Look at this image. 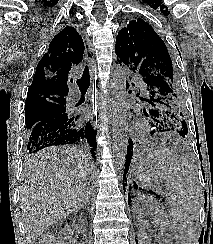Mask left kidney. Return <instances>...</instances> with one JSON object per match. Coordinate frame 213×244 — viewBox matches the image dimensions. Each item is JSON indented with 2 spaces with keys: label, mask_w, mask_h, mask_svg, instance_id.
Masks as SVG:
<instances>
[{
  "label": "left kidney",
  "mask_w": 213,
  "mask_h": 244,
  "mask_svg": "<svg viewBox=\"0 0 213 244\" xmlns=\"http://www.w3.org/2000/svg\"><path fill=\"white\" fill-rule=\"evenodd\" d=\"M133 217L136 225L143 230L146 221L145 216H152L153 222L157 227V241L159 244H173L169 234L168 225L165 221V215L160 205L153 199L140 196L133 200ZM140 244H152L147 235L142 231L139 237Z\"/></svg>",
  "instance_id": "5707ae66"
}]
</instances>
